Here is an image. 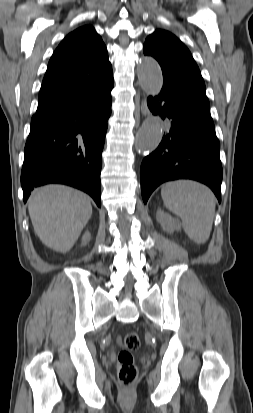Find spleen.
Returning a JSON list of instances; mask_svg holds the SVG:
<instances>
[{
  "label": "spleen",
  "mask_w": 253,
  "mask_h": 413,
  "mask_svg": "<svg viewBox=\"0 0 253 413\" xmlns=\"http://www.w3.org/2000/svg\"><path fill=\"white\" fill-rule=\"evenodd\" d=\"M164 206L179 216L191 240L205 243L211 233L216 198L212 191L198 182L179 180L166 183L161 189Z\"/></svg>",
  "instance_id": "3e777b00"
}]
</instances>
